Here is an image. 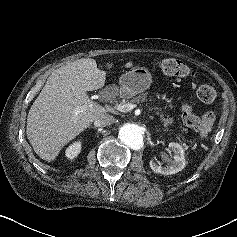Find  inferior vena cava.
I'll return each instance as SVG.
<instances>
[{
  "mask_svg": "<svg viewBox=\"0 0 237 237\" xmlns=\"http://www.w3.org/2000/svg\"><path fill=\"white\" fill-rule=\"evenodd\" d=\"M114 122H115V118L112 115L105 113L95 119L94 126L105 127Z\"/></svg>",
  "mask_w": 237,
  "mask_h": 237,
  "instance_id": "obj_1",
  "label": "inferior vena cava"
}]
</instances>
